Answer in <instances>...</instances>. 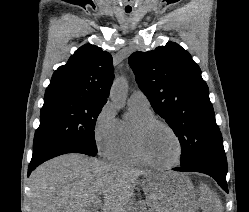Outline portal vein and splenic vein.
I'll return each mask as SVG.
<instances>
[{"label":"portal vein and splenic vein","mask_w":249,"mask_h":212,"mask_svg":"<svg viewBox=\"0 0 249 212\" xmlns=\"http://www.w3.org/2000/svg\"><path fill=\"white\" fill-rule=\"evenodd\" d=\"M94 206L95 208H99V206H101V202H95Z\"/></svg>","instance_id":"obj_1"}]
</instances>
